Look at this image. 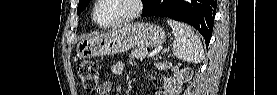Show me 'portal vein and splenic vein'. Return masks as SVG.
Instances as JSON below:
<instances>
[{
  "label": "portal vein and splenic vein",
  "mask_w": 277,
  "mask_h": 95,
  "mask_svg": "<svg viewBox=\"0 0 277 95\" xmlns=\"http://www.w3.org/2000/svg\"><path fill=\"white\" fill-rule=\"evenodd\" d=\"M162 50V47H158L157 49L153 50L150 54L149 57L154 56L155 54H157L158 52H160Z\"/></svg>",
  "instance_id": "18ae733b"
}]
</instances>
